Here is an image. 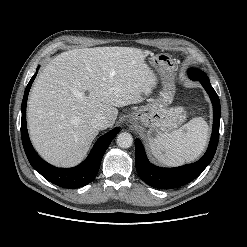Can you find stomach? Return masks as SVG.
I'll use <instances>...</instances> for the list:
<instances>
[{"label":"stomach","mask_w":247,"mask_h":247,"mask_svg":"<svg viewBox=\"0 0 247 247\" xmlns=\"http://www.w3.org/2000/svg\"><path fill=\"white\" fill-rule=\"evenodd\" d=\"M151 64L159 68L162 72L173 71L172 58L167 54H158L150 58ZM163 91L160 97L152 100L149 104L136 109L129 115L132 124L142 130L149 128L148 139L156 133H168L179 127L186 118V114L181 107H169L174 97V85L171 81L164 82Z\"/></svg>","instance_id":"obj_1"}]
</instances>
